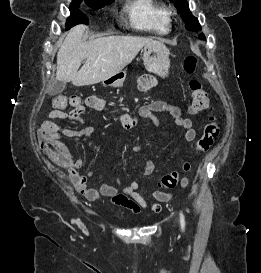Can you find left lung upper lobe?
Listing matches in <instances>:
<instances>
[{"label":"left lung upper lobe","instance_id":"obj_1","mask_svg":"<svg viewBox=\"0 0 261 273\" xmlns=\"http://www.w3.org/2000/svg\"><path fill=\"white\" fill-rule=\"evenodd\" d=\"M178 8V13L181 14L182 20L185 22V28L189 31L201 30L198 19L194 17L186 0H170Z\"/></svg>","mask_w":261,"mask_h":273}]
</instances>
